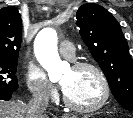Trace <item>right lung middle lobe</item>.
Wrapping results in <instances>:
<instances>
[{"instance_id": "obj_1", "label": "right lung middle lobe", "mask_w": 133, "mask_h": 118, "mask_svg": "<svg viewBox=\"0 0 133 118\" xmlns=\"http://www.w3.org/2000/svg\"><path fill=\"white\" fill-rule=\"evenodd\" d=\"M18 60L0 58V95L13 93L18 89L16 77Z\"/></svg>"}]
</instances>
